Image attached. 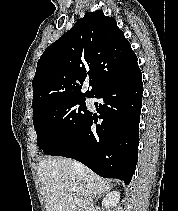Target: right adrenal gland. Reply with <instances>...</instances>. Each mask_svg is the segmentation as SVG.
Listing matches in <instances>:
<instances>
[{
	"mask_svg": "<svg viewBox=\"0 0 178 211\" xmlns=\"http://www.w3.org/2000/svg\"><path fill=\"white\" fill-rule=\"evenodd\" d=\"M102 195L103 193L98 194V196L96 197V200H98Z\"/></svg>",
	"mask_w": 178,
	"mask_h": 211,
	"instance_id": "2a0ac1e0",
	"label": "right adrenal gland"
}]
</instances>
